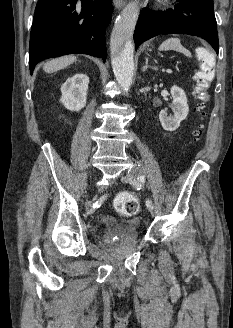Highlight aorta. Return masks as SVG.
Returning a JSON list of instances; mask_svg holds the SVG:
<instances>
[{"mask_svg":"<svg viewBox=\"0 0 233 328\" xmlns=\"http://www.w3.org/2000/svg\"><path fill=\"white\" fill-rule=\"evenodd\" d=\"M140 14L139 1L128 3L117 18L111 34V58L115 77L128 91L132 84L134 47L131 37Z\"/></svg>","mask_w":233,"mask_h":328,"instance_id":"aorta-1","label":"aorta"}]
</instances>
